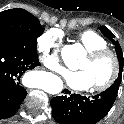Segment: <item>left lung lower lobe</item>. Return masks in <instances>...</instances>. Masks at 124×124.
<instances>
[{"mask_svg":"<svg viewBox=\"0 0 124 124\" xmlns=\"http://www.w3.org/2000/svg\"><path fill=\"white\" fill-rule=\"evenodd\" d=\"M56 96L51 100L52 115L59 124H97L110 111L117 97L118 89L111 86L94 95L71 94Z\"/></svg>","mask_w":124,"mask_h":124,"instance_id":"1","label":"left lung lower lobe"}]
</instances>
